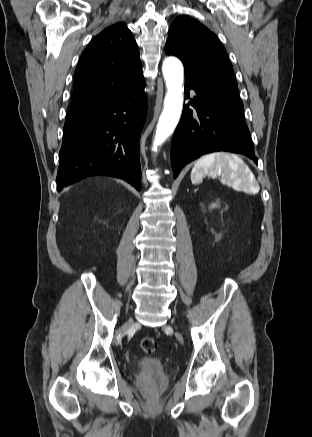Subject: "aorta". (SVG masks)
Returning <instances> with one entry per match:
<instances>
[{"label": "aorta", "mask_w": 312, "mask_h": 437, "mask_svg": "<svg viewBox=\"0 0 312 437\" xmlns=\"http://www.w3.org/2000/svg\"><path fill=\"white\" fill-rule=\"evenodd\" d=\"M162 72L166 81L167 94L164 109L159 118L153 141V150L162 145L175 130L183 107V65L179 59L169 57L165 59Z\"/></svg>", "instance_id": "obj_1"}]
</instances>
